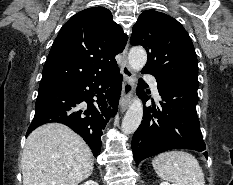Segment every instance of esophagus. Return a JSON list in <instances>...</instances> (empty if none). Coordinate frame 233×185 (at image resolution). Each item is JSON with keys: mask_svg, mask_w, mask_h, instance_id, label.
Masks as SVG:
<instances>
[{"mask_svg": "<svg viewBox=\"0 0 233 185\" xmlns=\"http://www.w3.org/2000/svg\"><path fill=\"white\" fill-rule=\"evenodd\" d=\"M127 53H128V44L126 45L122 53L123 62L121 67V73L123 75V82H122L121 98L119 102V107L121 112H124L127 109V107L130 105L134 91L135 75L128 64Z\"/></svg>", "mask_w": 233, "mask_h": 185, "instance_id": "obj_1", "label": "esophagus"}]
</instances>
